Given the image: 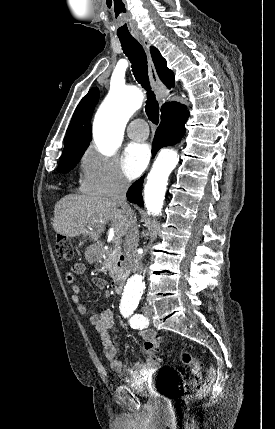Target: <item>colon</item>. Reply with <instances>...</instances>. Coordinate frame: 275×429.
<instances>
[{
	"label": "colon",
	"instance_id": "obj_1",
	"mask_svg": "<svg viewBox=\"0 0 275 429\" xmlns=\"http://www.w3.org/2000/svg\"><path fill=\"white\" fill-rule=\"evenodd\" d=\"M55 251L59 259L69 261L73 257V247L69 239L64 236L57 235L55 241ZM160 344V338L154 341H149L144 345L147 353L154 355ZM182 362L187 366L192 374L189 379H184L179 384V389L184 392V396L181 398V402L187 404L196 399L201 398L208 390L211 382L213 372L209 371L208 378L202 382L201 372L202 364L191 354L184 352L182 353Z\"/></svg>",
	"mask_w": 275,
	"mask_h": 429
}]
</instances>
